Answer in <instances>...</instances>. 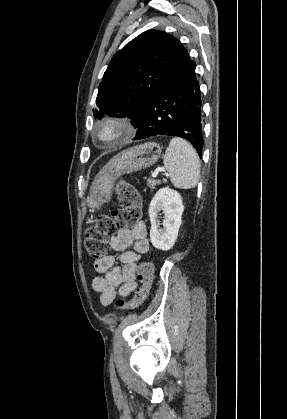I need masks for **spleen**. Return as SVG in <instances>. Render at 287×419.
Masks as SVG:
<instances>
[{"label": "spleen", "mask_w": 287, "mask_h": 419, "mask_svg": "<svg viewBox=\"0 0 287 419\" xmlns=\"http://www.w3.org/2000/svg\"><path fill=\"white\" fill-rule=\"evenodd\" d=\"M164 167L176 188H194L199 181V157L190 143L182 138H172L164 155Z\"/></svg>", "instance_id": "1"}]
</instances>
